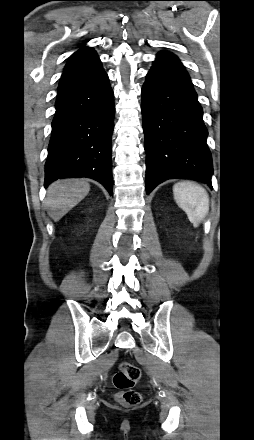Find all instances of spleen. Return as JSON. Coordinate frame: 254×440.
<instances>
[{"instance_id": "3e777b00", "label": "spleen", "mask_w": 254, "mask_h": 440, "mask_svg": "<svg viewBox=\"0 0 254 440\" xmlns=\"http://www.w3.org/2000/svg\"><path fill=\"white\" fill-rule=\"evenodd\" d=\"M174 199L185 211L189 221L198 227L209 211V197L206 190L192 181H182L173 186Z\"/></svg>"}]
</instances>
